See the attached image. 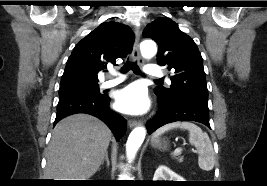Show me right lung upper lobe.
<instances>
[{"label":"right lung upper lobe","instance_id":"1","mask_svg":"<svg viewBox=\"0 0 267 186\" xmlns=\"http://www.w3.org/2000/svg\"><path fill=\"white\" fill-rule=\"evenodd\" d=\"M134 33L129 26L118 22H104L83 38L74 48L60 85L89 83L98 84V72L107 63L115 64L131 52Z\"/></svg>","mask_w":267,"mask_h":186}]
</instances>
